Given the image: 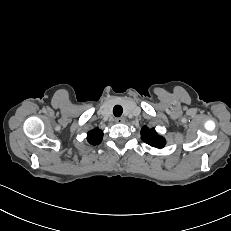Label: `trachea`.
<instances>
[{"instance_id":"1","label":"trachea","mask_w":231,"mask_h":231,"mask_svg":"<svg viewBox=\"0 0 231 231\" xmlns=\"http://www.w3.org/2000/svg\"><path fill=\"white\" fill-rule=\"evenodd\" d=\"M122 113H123V108L120 105H116L113 108V114H114V116L120 117L122 115Z\"/></svg>"}]
</instances>
